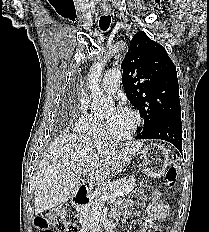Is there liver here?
<instances>
[{"mask_svg": "<svg viewBox=\"0 0 209 232\" xmlns=\"http://www.w3.org/2000/svg\"><path fill=\"white\" fill-rule=\"evenodd\" d=\"M142 145L141 142H106L81 135H61L45 151L38 165L34 182L35 213L53 209L73 197L81 186L80 175L85 166H90L98 183H107Z\"/></svg>", "mask_w": 209, "mask_h": 232, "instance_id": "6515ba94", "label": "liver"}]
</instances>
